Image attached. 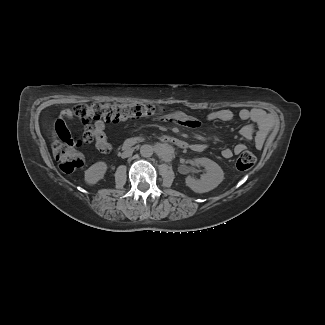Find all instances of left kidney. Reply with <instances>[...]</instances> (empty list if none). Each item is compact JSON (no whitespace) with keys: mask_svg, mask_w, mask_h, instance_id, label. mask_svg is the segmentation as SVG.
<instances>
[{"mask_svg":"<svg viewBox=\"0 0 325 325\" xmlns=\"http://www.w3.org/2000/svg\"><path fill=\"white\" fill-rule=\"evenodd\" d=\"M196 165H201L205 168L206 173L200 179H195L187 176L185 183L191 190L196 193H206L215 189L224 179V172L221 167L214 161L208 158L194 159Z\"/></svg>","mask_w":325,"mask_h":325,"instance_id":"left-kidney-1","label":"left kidney"}]
</instances>
